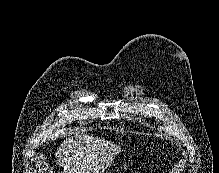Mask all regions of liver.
I'll use <instances>...</instances> for the list:
<instances>
[{
	"label": "liver",
	"mask_w": 219,
	"mask_h": 173,
	"mask_svg": "<svg viewBox=\"0 0 219 173\" xmlns=\"http://www.w3.org/2000/svg\"><path fill=\"white\" fill-rule=\"evenodd\" d=\"M120 147L89 135L69 137L57 150V165L63 173H103Z\"/></svg>",
	"instance_id": "liver-1"
}]
</instances>
